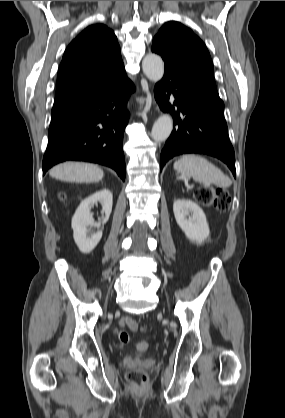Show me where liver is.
I'll list each match as a JSON object with an SVG mask.
<instances>
[{"label": "liver", "mask_w": 285, "mask_h": 418, "mask_svg": "<svg viewBox=\"0 0 285 418\" xmlns=\"http://www.w3.org/2000/svg\"><path fill=\"white\" fill-rule=\"evenodd\" d=\"M49 175L65 182L94 183L103 179L104 172L93 164L66 162L52 168Z\"/></svg>", "instance_id": "liver-1"}]
</instances>
